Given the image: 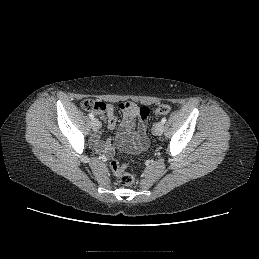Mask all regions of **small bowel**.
<instances>
[{
    "mask_svg": "<svg viewBox=\"0 0 259 259\" xmlns=\"http://www.w3.org/2000/svg\"><path fill=\"white\" fill-rule=\"evenodd\" d=\"M123 113V119L119 125L117 134V142L125 147L128 151L136 153L143 150L148 145L147 138V121L140 115V107L133 102H125L120 104ZM97 115H104L108 129H114L116 126V116L114 107L105 104L103 110H94ZM94 146L107 154H111V141L102 142L99 135L93 138Z\"/></svg>",
    "mask_w": 259,
    "mask_h": 259,
    "instance_id": "obj_1",
    "label": "small bowel"
}]
</instances>
